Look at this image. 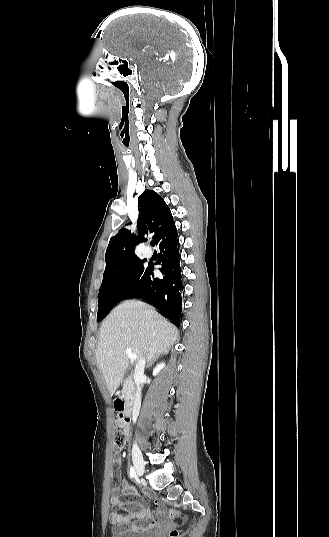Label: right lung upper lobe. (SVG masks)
I'll use <instances>...</instances> for the list:
<instances>
[{
  "mask_svg": "<svg viewBox=\"0 0 329 537\" xmlns=\"http://www.w3.org/2000/svg\"><path fill=\"white\" fill-rule=\"evenodd\" d=\"M138 210V236L122 228L111 237L106 250V266L138 258L134 252L135 246L144 242L146 235H153L152 238L159 244L176 229L170 209L153 190H145L138 197Z\"/></svg>",
  "mask_w": 329,
  "mask_h": 537,
  "instance_id": "obj_1",
  "label": "right lung upper lobe"
}]
</instances>
